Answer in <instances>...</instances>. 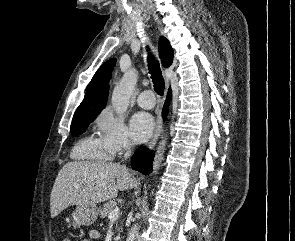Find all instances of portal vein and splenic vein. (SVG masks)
<instances>
[{
    "label": "portal vein and splenic vein",
    "instance_id": "portal-vein-and-splenic-vein-1",
    "mask_svg": "<svg viewBox=\"0 0 295 241\" xmlns=\"http://www.w3.org/2000/svg\"><path fill=\"white\" fill-rule=\"evenodd\" d=\"M119 208H115L114 210H112L109 215H108V219L110 221H115L117 220V218L119 217Z\"/></svg>",
    "mask_w": 295,
    "mask_h": 241
}]
</instances>
